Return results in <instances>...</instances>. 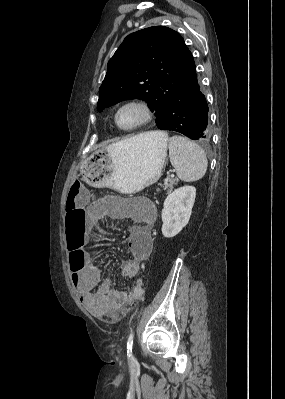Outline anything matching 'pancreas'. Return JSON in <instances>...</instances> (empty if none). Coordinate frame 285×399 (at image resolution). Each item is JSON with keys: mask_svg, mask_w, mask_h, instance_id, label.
<instances>
[{"mask_svg": "<svg viewBox=\"0 0 285 399\" xmlns=\"http://www.w3.org/2000/svg\"><path fill=\"white\" fill-rule=\"evenodd\" d=\"M177 182H178L177 179H172V178L167 179V180L164 182V185H163L164 190H166L167 193L171 192V190H172L173 187H174V184H177Z\"/></svg>", "mask_w": 285, "mask_h": 399, "instance_id": "1", "label": "pancreas"}]
</instances>
